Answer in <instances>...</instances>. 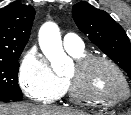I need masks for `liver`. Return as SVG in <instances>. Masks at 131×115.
<instances>
[{"instance_id":"1","label":"liver","mask_w":131,"mask_h":115,"mask_svg":"<svg viewBox=\"0 0 131 115\" xmlns=\"http://www.w3.org/2000/svg\"><path fill=\"white\" fill-rule=\"evenodd\" d=\"M0 115H88L81 111L31 104L0 105Z\"/></svg>"}]
</instances>
